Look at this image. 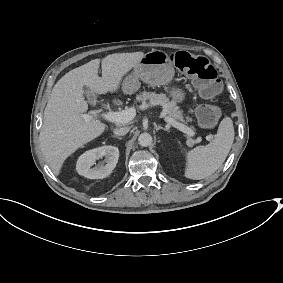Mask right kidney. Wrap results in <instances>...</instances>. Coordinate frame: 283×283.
Listing matches in <instances>:
<instances>
[{"mask_svg":"<svg viewBox=\"0 0 283 283\" xmlns=\"http://www.w3.org/2000/svg\"><path fill=\"white\" fill-rule=\"evenodd\" d=\"M105 157L94 168L96 160ZM119 158V150L114 146H102L83 153L77 160L76 170L79 175L89 179H103L107 177L116 167Z\"/></svg>","mask_w":283,"mask_h":283,"instance_id":"obj_1","label":"right kidney"}]
</instances>
